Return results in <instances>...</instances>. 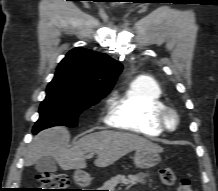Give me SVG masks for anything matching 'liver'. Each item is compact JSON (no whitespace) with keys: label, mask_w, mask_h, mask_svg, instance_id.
Wrapping results in <instances>:
<instances>
[{"label":"liver","mask_w":218,"mask_h":191,"mask_svg":"<svg viewBox=\"0 0 218 191\" xmlns=\"http://www.w3.org/2000/svg\"><path fill=\"white\" fill-rule=\"evenodd\" d=\"M70 134L66 127H54L34 137L25 155V166H31L42 156L53 157L63 170L86 167L85 155H98L94 164L107 167L134 150L163 149L153 142L135 134L102 130L90 133L69 147Z\"/></svg>","instance_id":"obj_1"}]
</instances>
